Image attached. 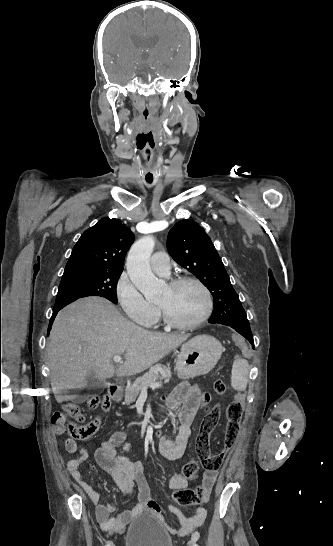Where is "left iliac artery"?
Returning <instances> with one entry per match:
<instances>
[{"mask_svg": "<svg viewBox=\"0 0 333 546\" xmlns=\"http://www.w3.org/2000/svg\"><path fill=\"white\" fill-rule=\"evenodd\" d=\"M193 546H198V545L196 543H194Z\"/></svg>", "mask_w": 333, "mask_h": 546, "instance_id": "44dca946", "label": "left iliac artery"}]
</instances>
